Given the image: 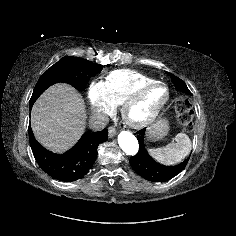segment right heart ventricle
I'll return each mask as SVG.
<instances>
[{
  "label": "right heart ventricle",
  "instance_id": "right-heart-ventricle-1",
  "mask_svg": "<svg viewBox=\"0 0 236 236\" xmlns=\"http://www.w3.org/2000/svg\"><path fill=\"white\" fill-rule=\"evenodd\" d=\"M153 81V78L138 71L114 70L104 80L107 100L114 107L120 106L137 88Z\"/></svg>",
  "mask_w": 236,
  "mask_h": 236
}]
</instances>
